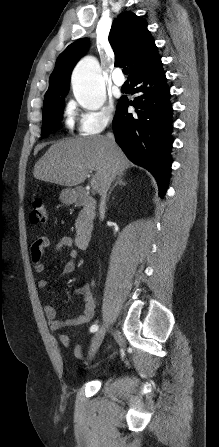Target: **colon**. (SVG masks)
I'll use <instances>...</instances> for the list:
<instances>
[{
  "instance_id": "1",
  "label": "colon",
  "mask_w": 219,
  "mask_h": 447,
  "mask_svg": "<svg viewBox=\"0 0 219 447\" xmlns=\"http://www.w3.org/2000/svg\"><path fill=\"white\" fill-rule=\"evenodd\" d=\"M29 220L32 224H42L47 220V211L45 200L43 198H35L29 212Z\"/></svg>"
}]
</instances>
